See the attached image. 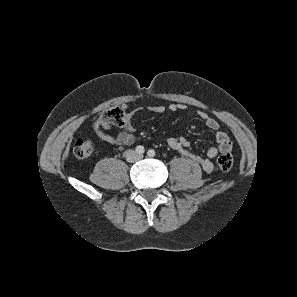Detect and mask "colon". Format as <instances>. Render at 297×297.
I'll return each instance as SVG.
<instances>
[{"mask_svg": "<svg viewBox=\"0 0 297 297\" xmlns=\"http://www.w3.org/2000/svg\"><path fill=\"white\" fill-rule=\"evenodd\" d=\"M126 114L120 107H112L104 111L99 122L103 125L121 126L125 121ZM93 152L92 142L88 139H79L73 146V153L79 159L88 158ZM218 167L221 171L227 172L233 166V157L231 153H222L217 159Z\"/></svg>", "mask_w": 297, "mask_h": 297, "instance_id": "colon-1", "label": "colon"}]
</instances>
